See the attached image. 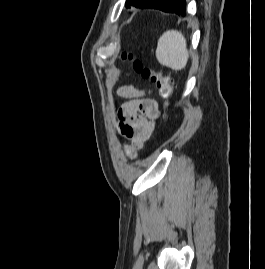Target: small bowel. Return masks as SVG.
Wrapping results in <instances>:
<instances>
[{"label": "small bowel", "instance_id": "1", "mask_svg": "<svg viewBox=\"0 0 265 269\" xmlns=\"http://www.w3.org/2000/svg\"><path fill=\"white\" fill-rule=\"evenodd\" d=\"M117 93L130 99L120 108L118 116L121 120L120 126L124 122L134 128L130 143L125 145L129 156L134 157L136 151L144 146L154 130L159 115L158 105L155 100L144 97L143 92L131 86H123Z\"/></svg>", "mask_w": 265, "mask_h": 269}]
</instances>
